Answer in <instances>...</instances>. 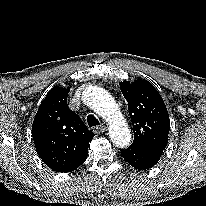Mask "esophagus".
I'll use <instances>...</instances> for the list:
<instances>
[{
  "instance_id": "obj_1",
  "label": "esophagus",
  "mask_w": 206,
  "mask_h": 206,
  "mask_svg": "<svg viewBox=\"0 0 206 206\" xmlns=\"http://www.w3.org/2000/svg\"><path fill=\"white\" fill-rule=\"evenodd\" d=\"M106 129H107V127H106L104 124H101V125H99V126L94 127V128H93V131H94L95 133H100V132H105Z\"/></svg>"
}]
</instances>
